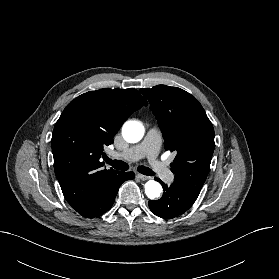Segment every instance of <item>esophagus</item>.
<instances>
[{
	"mask_svg": "<svg viewBox=\"0 0 279 279\" xmlns=\"http://www.w3.org/2000/svg\"><path fill=\"white\" fill-rule=\"evenodd\" d=\"M137 176H138L139 179H141L143 181L151 179L150 176H146V175H143V174H138Z\"/></svg>",
	"mask_w": 279,
	"mask_h": 279,
	"instance_id": "1",
	"label": "esophagus"
}]
</instances>
